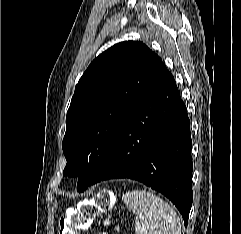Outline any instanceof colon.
Listing matches in <instances>:
<instances>
[{
	"instance_id": "obj_1",
	"label": "colon",
	"mask_w": 241,
	"mask_h": 234,
	"mask_svg": "<svg viewBox=\"0 0 241 234\" xmlns=\"http://www.w3.org/2000/svg\"><path fill=\"white\" fill-rule=\"evenodd\" d=\"M113 204L114 199L109 192H99L93 199L66 211L59 221V234H80V231L91 226L99 214L110 210Z\"/></svg>"
}]
</instances>
